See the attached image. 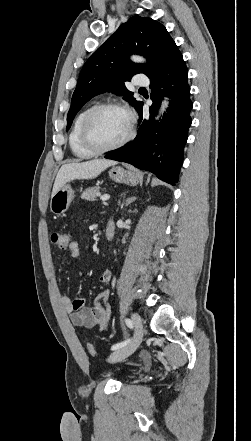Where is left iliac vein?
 <instances>
[{"label": "left iliac vein", "instance_id": "4c4485c4", "mask_svg": "<svg viewBox=\"0 0 251 441\" xmlns=\"http://www.w3.org/2000/svg\"><path fill=\"white\" fill-rule=\"evenodd\" d=\"M132 319V323L134 325V336L132 338V340H130V342L125 345L122 348H119L117 350H115L113 353H111V355L109 356L108 361L111 363H116L119 362L125 358H127L128 356H130L140 345V343L142 342L143 339V335H144V329H143V324L141 321V318L139 317L138 314L133 313L131 316Z\"/></svg>", "mask_w": 251, "mask_h": 441}]
</instances>
